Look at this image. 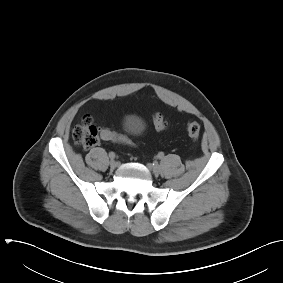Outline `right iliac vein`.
<instances>
[{"instance_id": "1", "label": "right iliac vein", "mask_w": 283, "mask_h": 283, "mask_svg": "<svg viewBox=\"0 0 283 283\" xmlns=\"http://www.w3.org/2000/svg\"><path fill=\"white\" fill-rule=\"evenodd\" d=\"M118 166V163L114 160L110 161V168L114 170Z\"/></svg>"}]
</instances>
